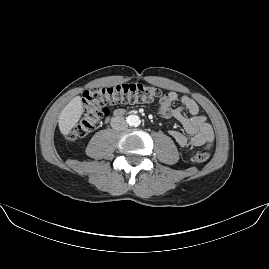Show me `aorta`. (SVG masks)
Here are the masks:
<instances>
[{
	"label": "aorta",
	"instance_id": "762f6f07",
	"mask_svg": "<svg viewBox=\"0 0 269 269\" xmlns=\"http://www.w3.org/2000/svg\"><path fill=\"white\" fill-rule=\"evenodd\" d=\"M127 121L131 126H138L140 124V118L137 115L128 116Z\"/></svg>",
	"mask_w": 269,
	"mask_h": 269
}]
</instances>
